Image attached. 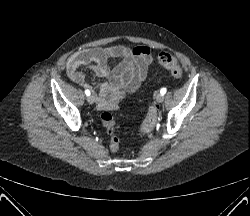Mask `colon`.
Returning <instances> with one entry per match:
<instances>
[{
  "instance_id": "colon-1",
  "label": "colon",
  "mask_w": 250,
  "mask_h": 216,
  "mask_svg": "<svg viewBox=\"0 0 250 216\" xmlns=\"http://www.w3.org/2000/svg\"><path fill=\"white\" fill-rule=\"evenodd\" d=\"M158 62L162 67L169 70L173 77L180 78L182 76V69L178 61L170 53L161 52L158 55ZM156 120H157V108L154 105H150L145 114V117L143 118V120L139 125L138 133L140 135H146L152 132L156 126ZM101 122L111 136L109 144L110 150L112 152L118 151L120 141L115 134L116 123L113 116L110 113L105 112L101 115Z\"/></svg>"
}]
</instances>
